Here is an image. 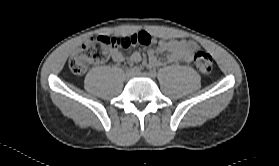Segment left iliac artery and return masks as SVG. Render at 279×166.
Here are the masks:
<instances>
[{"mask_svg":"<svg viewBox=\"0 0 279 166\" xmlns=\"http://www.w3.org/2000/svg\"><path fill=\"white\" fill-rule=\"evenodd\" d=\"M150 74H151L153 77H155V76H156V71H155V70H151V71H150Z\"/></svg>","mask_w":279,"mask_h":166,"instance_id":"1","label":"left iliac artery"}]
</instances>
